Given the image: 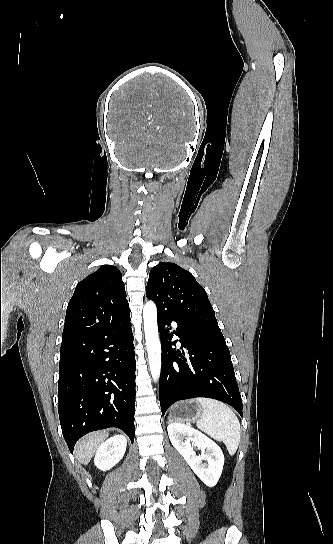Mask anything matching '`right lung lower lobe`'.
<instances>
[{
    "mask_svg": "<svg viewBox=\"0 0 333 544\" xmlns=\"http://www.w3.org/2000/svg\"><path fill=\"white\" fill-rule=\"evenodd\" d=\"M130 316L63 337L58 412L73 452L85 434L109 427L134 441L135 352Z\"/></svg>",
    "mask_w": 333,
    "mask_h": 544,
    "instance_id": "98d812e1",
    "label": "right lung lower lobe"
}]
</instances>
